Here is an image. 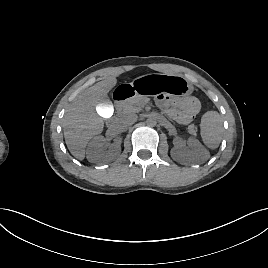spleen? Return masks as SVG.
I'll use <instances>...</instances> for the list:
<instances>
[{
    "label": "spleen",
    "instance_id": "obj_1",
    "mask_svg": "<svg viewBox=\"0 0 268 268\" xmlns=\"http://www.w3.org/2000/svg\"><path fill=\"white\" fill-rule=\"evenodd\" d=\"M201 137L210 149H216L222 139V118L217 111H207L201 119Z\"/></svg>",
    "mask_w": 268,
    "mask_h": 268
}]
</instances>
